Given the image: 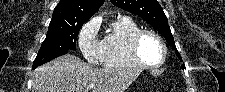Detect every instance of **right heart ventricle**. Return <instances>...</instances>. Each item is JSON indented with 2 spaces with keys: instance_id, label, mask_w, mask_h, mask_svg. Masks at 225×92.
<instances>
[{
  "instance_id": "right-heart-ventricle-1",
  "label": "right heart ventricle",
  "mask_w": 225,
  "mask_h": 92,
  "mask_svg": "<svg viewBox=\"0 0 225 92\" xmlns=\"http://www.w3.org/2000/svg\"><path fill=\"white\" fill-rule=\"evenodd\" d=\"M140 30L139 25L128 16H117L111 23L109 33L102 40L101 62L110 69H136L129 52L130 37Z\"/></svg>"
}]
</instances>
